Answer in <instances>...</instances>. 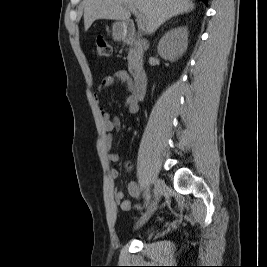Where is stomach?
Listing matches in <instances>:
<instances>
[{
	"mask_svg": "<svg viewBox=\"0 0 267 267\" xmlns=\"http://www.w3.org/2000/svg\"><path fill=\"white\" fill-rule=\"evenodd\" d=\"M126 36V23L117 21L112 25V37L116 41H121Z\"/></svg>",
	"mask_w": 267,
	"mask_h": 267,
	"instance_id": "stomach-1",
	"label": "stomach"
}]
</instances>
